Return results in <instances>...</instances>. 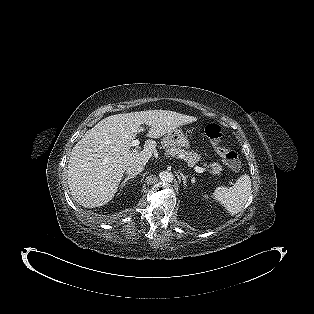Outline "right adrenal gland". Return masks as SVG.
Instances as JSON below:
<instances>
[{"mask_svg":"<svg viewBox=\"0 0 314 314\" xmlns=\"http://www.w3.org/2000/svg\"><path fill=\"white\" fill-rule=\"evenodd\" d=\"M132 178H134V176H128V177H126V178L121 182V188L127 184L128 180H130V179H132Z\"/></svg>","mask_w":314,"mask_h":314,"instance_id":"2a0ac1e0","label":"right adrenal gland"}]
</instances>
